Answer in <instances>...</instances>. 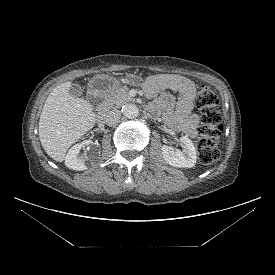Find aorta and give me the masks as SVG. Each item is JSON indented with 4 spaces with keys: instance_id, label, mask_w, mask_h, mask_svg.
Here are the masks:
<instances>
[{
    "instance_id": "762f6f07",
    "label": "aorta",
    "mask_w": 275,
    "mask_h": 275,
    "mask_svg": "<svg viewBox=\"0 0 275 275\" xmlns=\"http://www.w3.org/2000/svg\"><path fill=\"white\" fill-rule=\"evenodd\" d=\"M122 113L126 118L134 119L139 115V109L134 104H126L122 107Z\"/></svg>"
}]
</instances>
